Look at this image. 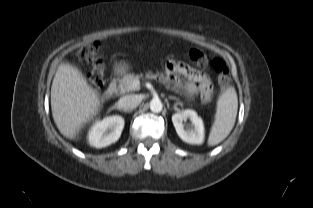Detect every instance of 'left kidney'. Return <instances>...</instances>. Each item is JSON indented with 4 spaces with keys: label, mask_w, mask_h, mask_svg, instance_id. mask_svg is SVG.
I'll use <instances>...</instances> for the list:
<instances>
[{
    "label": "left kidney",
    "mask_w": 313,
    "mask_h": 208,
    "mask_svg": "<svg viewBox=\"0 0 313 208\" xmlns=\"http://www.w3.org/2000/svg\"><path fill=\"white\" fill-rule=\"evenodd\" d=\"M189 119L191 125H184L183 121ZM172 122L178 136L189 144H202L204 141V124L194 110L187 109L172 116Z\"/></svg>",
    "instance_id": "1"
}]
</instances>
